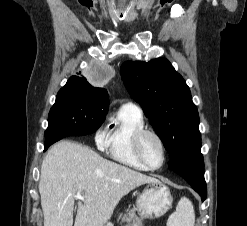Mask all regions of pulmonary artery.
Returning <instances> with one entry per match:
<instances>
[{
    "instance_id": "pulmonary-artery-1",
    "label": "pulmonary artery",
    "mask_w": 247,
    "mask_h": 226,
    "mask_svg": "<svg viewBox=\"0 0 247 226\" xmlns=\"http://www.w3.org/2000/svg\"><path fill=\"white\" fill-rule=\"evenodd\" d=\"M127 105H131V106H134V107L139 109V107L137 105L133 104V103H128Z\"/></svg>"
}]
</instances>
